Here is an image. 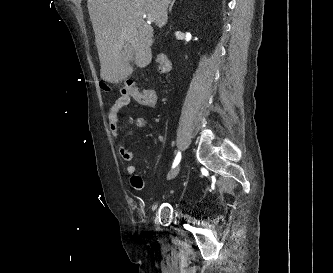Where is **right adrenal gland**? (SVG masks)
<instances>
[{
	"instance_id": "right-adrenal-gland-1",
	"label": "right adrenal gland",
	"mask_w": 333,
	"mask_h": 273,
	"mask_svg": "<svg viewBox=\"0 0 333 273\" xmlns=\"http://www.w3.org/2000/svg\"><path fill=\"white\" fill-rule=\"evenodd\" d=\"M174 3H175V0H173V1L171 2V5H170V7H169V11H170V12H171V10H172V7H173Z\"/></svg>"
}]
</instances>
